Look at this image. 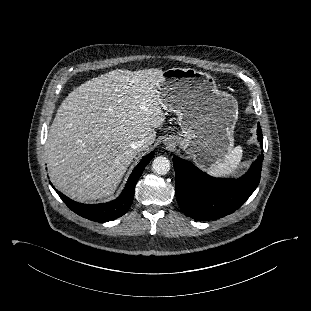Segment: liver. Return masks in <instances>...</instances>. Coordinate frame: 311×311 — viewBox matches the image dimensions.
Here are the masks:
<instances>
[{
	"label": "liver",
	"instance_id": "6515ba94",
	"mask_svg": "<svg viewBox=\"0 0 311 311\" xmlns=\"http://www.w3.org/2000/svg\"><path fill=\"white\" fill-rule=\"evenodd\" d=\"M163 71L117 69L88 80L61 103L46 141L51 182L79 202L111 197L138 152L148 151L165 114ZM145 144L134 150L137 140Z\"/></svg>",
	"mask_w": 311,
	"mask_h": 311
}]
</instances>
